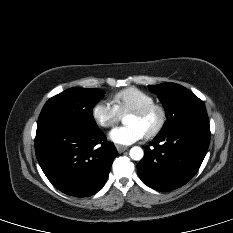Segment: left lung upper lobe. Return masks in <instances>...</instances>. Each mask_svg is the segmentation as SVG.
Listing matches in <instances>:
<instances>
[{"instance_id": "1", "label": "left lung upper lobe", "mask_w": 233, "mask_h": 233, "mask_svg": "<svg viewBox=\"0 0 233 233\" xmlns=\"http://www.w3.org/2000/svg\"><path fill=\"white\" fill-rule=\"evenodd\" d=\"M148 87L158 95L167 115V121L159 134L191 123H209L203 101L185 87L170 82Z\"/></svg>"}]
</instances>
